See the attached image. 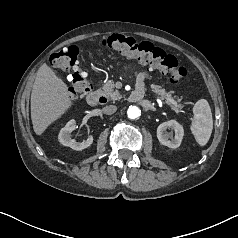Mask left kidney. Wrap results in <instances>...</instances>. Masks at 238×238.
<instances>
[{"instance_id":"obj_1","label":"left kidney","mask_w":238,"mask_h":238,"mask_svg":"<svg viewBox=\"0 0 238 238\" xmlns=\"http://www.w3.org/2000/svg\"><path fill=\"white\" fill-rule=\"evenodd\" d=\"M167 129H172L174 131L175 134L174 138L173 133L172 132L168 133ZM183 136H184L183 127L176 120L163 122L157 128V138L159 142L169 148L173 149L178 148L181 144Z\"/></svg>"}]
</instances>
